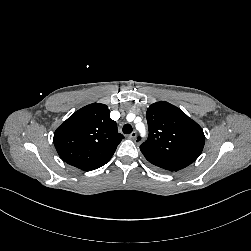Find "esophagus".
Instances as JSON below:
<instances>
[{
  "label": "esophagus",
  "mask_w": 251,
  "mask_h": 251,
  "mask_svg": "<svg viewBox=\"0 0 251 251\" xmlns=\"http://www.w3.org/2000/svg\"><path fill=\"white\" fill-rule=\"evenodd\" d=\"M128 137H129L130 139H135V138L137 137L136 131L131 132V134H129Z\"/></svg>",
  "instance_id": "obj_1"
}]
</instances>
